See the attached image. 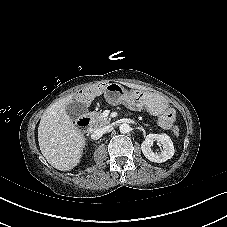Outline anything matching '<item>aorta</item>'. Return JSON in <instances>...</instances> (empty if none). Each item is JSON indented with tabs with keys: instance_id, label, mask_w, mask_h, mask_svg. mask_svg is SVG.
I'll return each mask as SVG.
<instances>
[{
	"instance_id": "obj_1",
	"label": "aorta",
	"mask_w": 227,
	"mask_h": 227,
	"mask_svg": "<svg viewBox=\"0 0 227 227\" xmlns=\"http://www.w3.org/2000/svg\"><path fill=\"white\" fill-rule=\"evenodd\" d=\"M119 130L121 133L126 134L130 132L131 128L129 124L123 123L119 126Z\"/></svg>"
}]
</instances>
